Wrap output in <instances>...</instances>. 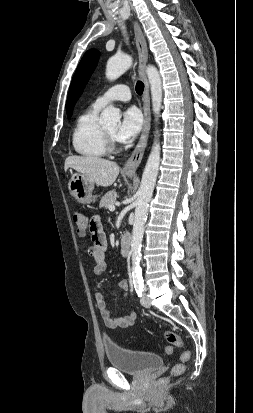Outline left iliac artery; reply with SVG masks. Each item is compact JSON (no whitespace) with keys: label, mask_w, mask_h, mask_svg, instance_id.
I'll list each match as a JSON object with an SVG mask.
<instances>
[{"label":"left iliac artery","mask_w":253,"mask_h":413,"mask_svg":"<svg viewBox=\"0 0 253 413\" xmlns=\"http://www.w3.org/2000/svg\"><path fill=\"white\" fill-rule=\"evenodd\" d=\"M133 283L138 297H142L144 291V281L141 272L133 274Z\"/></svg>","instance_id":"44dca946"}]
</instances>
